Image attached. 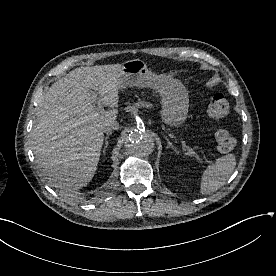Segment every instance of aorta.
<instances>
[{"instance_id": "1", "label": "aorta", "mask_w": 276, "mask_h": 276, "mask_svg": "<svg viewBox=\"0 0 276 276\" xmlns=\"http://www.w3.org/2000/svg\"><path fill=\"white\" fill-rule=\"evenodd\" d=\"M125 146L130 154L136 157H146L153 152L155 140L149 133L134 130L128 135Z\"/></svg>"}]
</instances>
